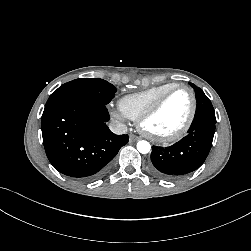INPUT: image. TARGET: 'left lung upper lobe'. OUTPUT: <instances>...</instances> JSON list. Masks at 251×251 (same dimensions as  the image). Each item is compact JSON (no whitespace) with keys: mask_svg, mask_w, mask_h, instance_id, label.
Returning a JSON list of instances; mask_svg holds the SVG:
<instances>
[{"mask_svg":"<svg viewBox=\"0 0 251 251\" xmlns=\"http://www.w3.org/2000/svg\"><path fill=\"white\" fill-rule=\"evenodd\" d=\"M190 85L195 89L196 99H197V107H196L195 116L200 115V114L215 115L213 106L210 100L208 99V97L202 91V89H200L199 87H197L196 85L192 83Z\"/></svg>","mask_w":251,"mask_h":251,"instance_id":"left-lung-upper-lobe-1","label":"left lung upper lobe"}]
</instances>
